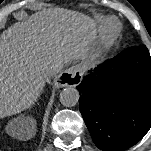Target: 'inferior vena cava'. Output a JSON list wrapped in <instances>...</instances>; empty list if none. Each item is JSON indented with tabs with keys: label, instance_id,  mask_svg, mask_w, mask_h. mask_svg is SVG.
<instances>
[{
	"label": "inferior vena cava",
	"instance_id": "inferior-vena-cava-1",
	"mask_svg": "<svg viewBox=\"0 0 151 151\" xmlns=\"http://www.w3.org/2000/svg\"><path fill=\"white\" fill-rule=\"evenodd\" d=\"M61 66H59V65H55L54 67H53V73H57V72H59L60 70H61Z\"/></svg>",
	"mask_w": 151,
	"mask_h": 151
}]
</instances>
